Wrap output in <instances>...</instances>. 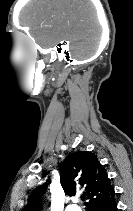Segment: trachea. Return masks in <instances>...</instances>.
Here are the masks:
<instances>
[{"mask_svg":"<svg viewBox=\"0 0 133 211\" xmlns=\"http://www.w3.org/2000/svg\"><path fill=\"white\" fill-rule=\"evenodd\" d=\"M85 199H86V196L85 195H82L81 196V200L84 201Z\"/></svg>","mask_w":133,"mask_h":211,"instance_id":"1","label":"trachea"}]
</instances>
